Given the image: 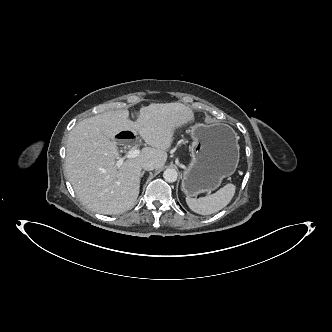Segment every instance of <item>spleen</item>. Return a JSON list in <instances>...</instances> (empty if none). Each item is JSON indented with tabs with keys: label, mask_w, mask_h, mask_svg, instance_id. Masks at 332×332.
I'll return each mask as SVG.
<instances>
[{
	"label": "spleen",
	"mask_w": 332,
	"mask_h": 332,
	"mask_svg": "<svg viewBox=\"0 0 332 332\" xmlns=\"http://www.w3.org/2000/svg\"><path fill=\"white\" fill-rule=\"evenodd\" d=\"M235 194V186L226 184L214 194L199 199L186 198L189 208L201 215L214 214L229 204Z\"/></svg>",
	"instance_id": "3e777b00"
}]
</instances>
